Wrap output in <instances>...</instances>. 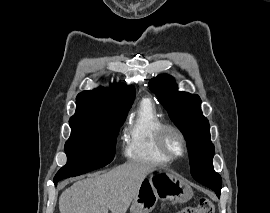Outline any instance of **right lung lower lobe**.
Here are the masks:
<instances>
[{
    "label": "right lung lower lobe",
    "instance_id": "obj_1",
    "mask_svg": "<svg viewBox=\"0 0 270 213\" xmlns=\"http://www.w3.org/2000/svg\"><path fill=\"white\" fill-rule=\"evenodd\" d=\"M57 182H58V181H54L55 185H57Z\"/></svg>",
    "mask_w": 270,
    "mask_h": 213
}]
</instances>
